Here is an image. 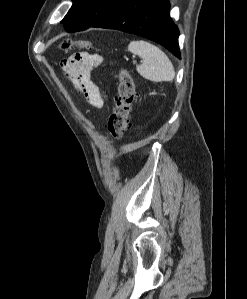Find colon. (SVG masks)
<instances>
[{
    "label": "colon",
    "instance_id": "1",
    "mask_svg": "<svg viewBox=\"0 0 247 299\" xmlns=\"http://www.w3.org/2000/svg\"><path fill=\"white\" fill-rule=\"evenodd\" d=\"M60 47L63 50L72 48H84L89 51L95 50L93 44L88 41H73L65 39ZM119 84L115 98V106L108 120V131L116 140H122L130 128V111L135 96V84L127 70H121Z\"/></svg>",
    "mask_w": 247,
    "mask_h": 299
}]
</instances>
